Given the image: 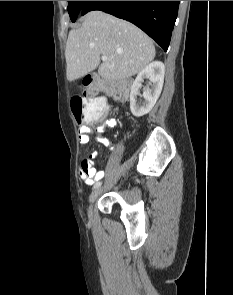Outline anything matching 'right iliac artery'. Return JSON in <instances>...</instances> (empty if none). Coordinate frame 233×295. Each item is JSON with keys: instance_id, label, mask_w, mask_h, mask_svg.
Returning <instances> with one entry per match:
<instances>
[{"instance_id": "right-iliac-artery-1", "label": "right iliac artery", "mask_w": 233, "mask_h": 295, "mask_svg": "<svg viewBox=\"0 0 233 295\" xmlns=\"http://www.w3.org/2000/svg\"><path fill=\"white\" fill-rule=\"evenodd\" d=\"M99 179H101V177H98V178H97V180H99ZM98 185H100V182H97V183L94 185V188L97 187Z\"/></svg>"}]
</instances>
